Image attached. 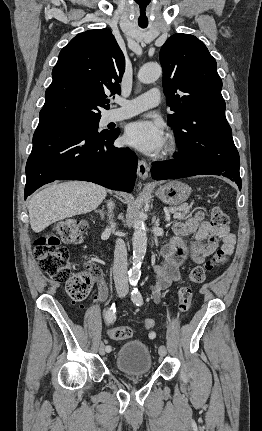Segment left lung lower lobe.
<instances>
[{"instance_id": "0a47b994", "label": "left lung lower lobe", "mask_w": 262, "mask_h": 431, "mask_svg": "<svg viewBox=\"0 0 262 431\" xmlns=\"http://www.w3.org/2000/svg\"><path fill=\"white\" fill-rule=\"evenodd\" d=\"M240 159L236 148L222 150L220 155L207 160L174 156L168 162H155L151 173L156 180L178 179L195 175H221L232 178L241 190Z\"/></svg>"}]
</instances>
